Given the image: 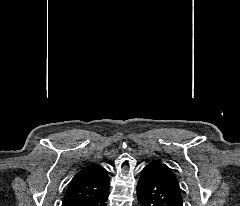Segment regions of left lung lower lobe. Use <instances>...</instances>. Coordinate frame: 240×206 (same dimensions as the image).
Wrapping results in <instances>:
<instances>
[{"instance_id": "1", "label": "left lung lower lobe", "mask_w": 240, "mask_h": 206, "mask_svg": "<svg viewBox=\"0 0 240 206\" xmlns=\"http://www.w3.org/2000/svg\"><path fill=\"white\" fill-rule=\"evenodd\" d=\"M162 164L155 161L144 167L137 186L138 200L144 206H183L182 196L174 189Z\"/></svg>"}]
</instances>
